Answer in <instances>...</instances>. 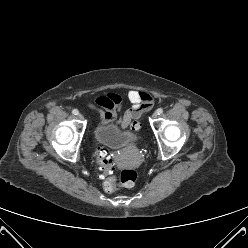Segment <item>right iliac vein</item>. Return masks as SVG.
I'll list each match as a JSON object with an SVG mask.
<instances>
[{
	"instance_id": "right-iliac-vein-1",
	"label": "right iliac vein",
	"mask_w": 248,
	"mask_h": 248,
	"mask_svg": "<svg viewBox=\"0 0 248 248\" xmlns=\"http://www.w3.org/2000/svg\"><path fill=\"white\" fill-rule=\"evenodd\" d=\"M77 115H78V118L79 119H83V115L82 114L78 113Z\"/></svg>"
}]
</instances>
